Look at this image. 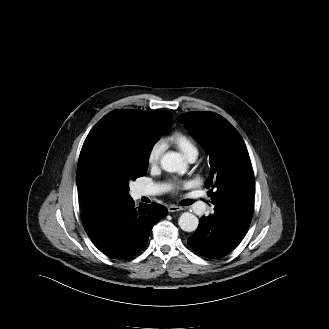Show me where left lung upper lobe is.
<instances>
[{
	"instance_id": "obj_1",
	"label": "left lung upper lobe",
	"mask_w": 329,
	"mask_h": 329,
	"mask_svg": "<svg viewBox=\"0 0 329 329\" xmlns=\"http://www.w3.org/2000/svg\"><path fill=\"white\" fill-rule=\"evenodd\" d=\"M209 154L211 172L206 181L212 203L231 201L253 185L254 173L246 145L238 131L212 112H189L177 118Z\"/></svg>"
}]
</instances>
